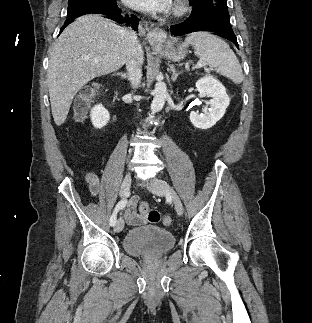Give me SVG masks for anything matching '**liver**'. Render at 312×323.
Masks as SVG:
<instances>
[{
	"label": "liver",
	"instance_id": "6515ba94",
	"mask_svg": "<svg viewBox=\"0 0 312 323\" xmlns=\"http://www.w3.org/2000/svg\"><path fill=\"white\" fill-rule=\"evenodd\" d=\"M126 32L102 14H86L67 26L48 50L47 84L56 126L64 124L76 94L90 80L117 72L126 64Z\"/></svg>",
	"mask_w": 312,
	"mask_h": 323
}]
</instances>
